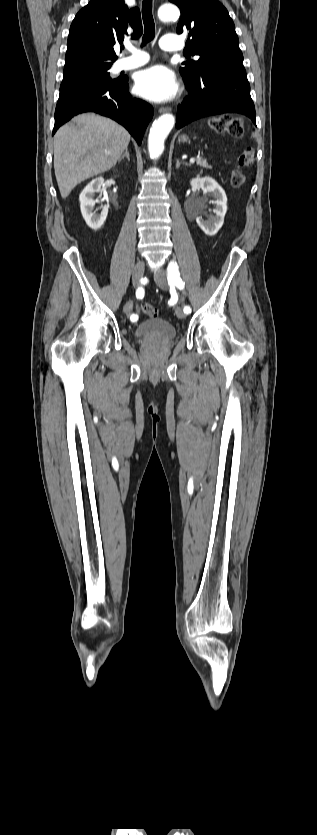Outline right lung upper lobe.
Masks as SVG:
<instances>
[{"instance_id": "obj_1", "label": "right lung upper lobe", "mask_w": 317, "mask_h": 835, "mask_svg": "<svg viewBox=\"0 0 317 835\" xmlns=\"http://www.w3.org/2000/svg\"><path fill=\"white\" fill-rule=\"evenodd\" d=\"M128 28L134 30L133 37L141 36L138 8L128 10L124 0H91L71 24L65 58L97 57L115 61L113 45L123 41Z\"/></svg>"}]
</instances>
